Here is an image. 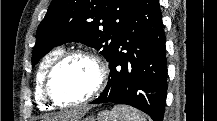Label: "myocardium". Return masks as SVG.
Instances as JSON below:
<instances>
[{
  "instance_id": "f54148a6",
  "label": "myocardium",
  "mask_w": 217,
  "mask_h": 121,
  "mask_svg": "<svg viewBox=\"0 0 217 121\" xmlns=\"http://www.w3.org/2000/svg\"><path fill=\"white\" fill-rule=\"evenodd\" d=\"M78 57L87 58L96 65L98 70V79L96 85L92 90V92L84 99L75 103H62L58 101L51 92L52 80L56 72L61 66H63L70 59L78 58ZM107 77H108V72L105 63L100 57H98L94 53L87 50H73L70 52H65L52 64V66L49 68L46 74L44 87H43L44 96L47 99L48 103H50L53 107L56 108L66 109L71 107L82 106L94 100L96 96L102 92V90L105 87Z\"/></svg>"
}]
</instances>
